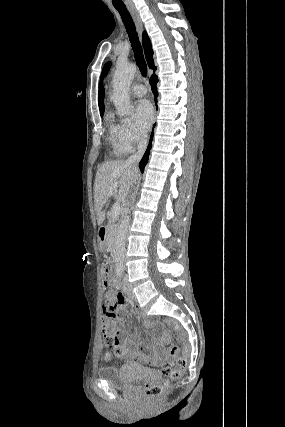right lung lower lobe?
I'll list each match as a JSON object with an SVG mask.
<instances>
[{
  "label": "right lung lower lobe",
  "instance_id": "98d812e1",
  "mask_svg": "<svg viewBox=\"0 0 285 427\" xmlns=\"http://www.w3.org/2000/svg\"><path fill=\"white\" fill-rule=\"evenodd\" d=\"M157 82H158L157 76L156 75H152V77L150 78V84H151V88H152V92L154 94V99H155V103L156 104H157V96H158L157 88H156V83ZM152 139H153V132H152V134L150 136V141H149L148 148H147V150H146V152H145L142 160L139 163V167H140L141 172L144 171V167H145V165H146V163L148 161V156H149V151L151 149V141H152Z\"/></svg>",
  "mask_w": 285,
  "mask_h": 427
}]
</instances>
